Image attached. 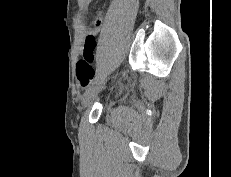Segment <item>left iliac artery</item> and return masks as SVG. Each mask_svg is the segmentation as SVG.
I'll list each match as a JSON object with an SVG mask.
<instances>
[{"label": "left iliac artery", "instance_id": "left-iliac-artery-1", "mask_svg": "<svg viewBox=\"0 0 231 177\" xmlns=\"http://www.w3.org/2000/svg\"><path fill=\"white\" fill-rule=\"evenodd\" d=\"M98 79H99V75H97V76L94 78V80H93V82H92V85L95 84V83L98 81Z\"/></svg>", "mask_w": 231, "mask_h": 177}]
</instances>
